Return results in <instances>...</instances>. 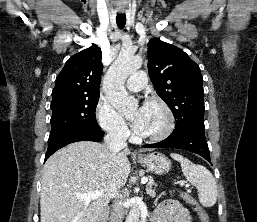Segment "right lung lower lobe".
<instances>
[{
    "label": "right lung lower lobe",
    "mask_w": 257,
    "mask_h": 222,
    "mask_svg": "<svg viewBox=\"0 0 257 222\" xmlns=\"http://www.w3.org/2000/svg\"><path fill=\"white\" fill-rule=\"evenodd\" d=\"M104 136L103 131H85V130H68L49 137L48 149L45 155V161L58 149L78 141H95L99 142Z\"/></svg>",
    "instance_id": "right-lung-lower-lobe-1"
}]
</instances>
